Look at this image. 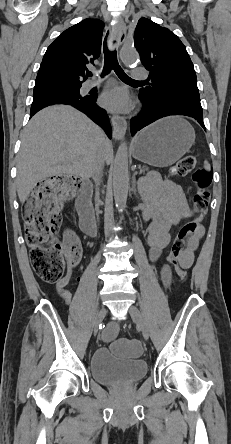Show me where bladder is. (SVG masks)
I'll use <instances>...</instances> for the list:
<instances>
[{
	"label": "bladder",
	"instance_id": "31cf9c89",
	"mask_svg": "<svg viewBox=\"0 0 231 444\" xmlns=\"http://www.w3.org/2000/svg\"><path fill=\"white\" fill-rule=\"evenodd\" d=\"M90 373L98 383L126 385L143 378L147 373V364L140 359L118 358L109 348H100L90 359Z\"/></svg>",
	"mask_w": 231,
	"mask_h": 444
}]
</instances>
